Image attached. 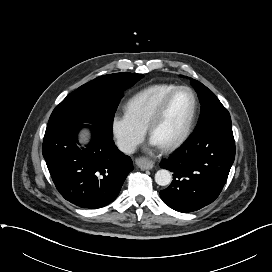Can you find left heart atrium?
Instances as JSON below:
<instances>
[{
	"label": "left heart atrium",
	"mask_w": 272,
	"mask_h": 272,
	"mask_svg": "<svg viewBox=\"0 0 272 272\" xmlns=\"http://www.w3.org/2000/svg\"><path fill=\"white\" fill-rule=\"evenodd\" d=\"M150 144H151L152 146H156V147L160 146L153 138H151Z\"/></svg>",
	"instance_id": "obj_1"
}]
</instances>
